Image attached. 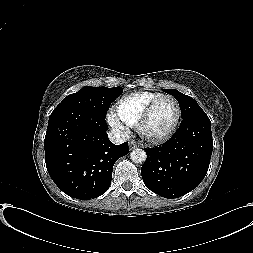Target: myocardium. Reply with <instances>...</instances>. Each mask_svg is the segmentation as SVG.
<instances>
[{"label":"myocardium","mask_w":253,"mask_h":253,"mask_svg":"<svg viewBox=\"0 0 253 253\" xmlns=\"http://www.w3.org/2000/svg\"><path fill=\"white\" fill-rule=\"evenodd\" d=\"M164 99H170L174 102V104L176 106V117H175L173 125L171 126V128L167 132H165L164 134H161V135L152 136L146 132V127H147V124L150 121V119L154 113L155 108ZM181 114H182V111H181V106H180L179 101L172 95H168V94L163 95L162 94L161 96H159L158 98L153 100L148 105V107L145 109L144 113L142 114V116L139 119L138 124H137L138 133L144 140H146L150 143H153V144H160V143L166 142L176 132V130L179 126V123H180Z\"/></svg>","instance_id":"1"}]
</instances>
